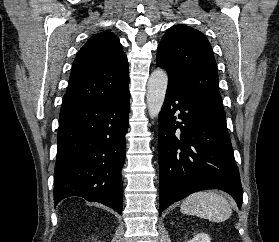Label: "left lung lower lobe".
<instances>
[{
  "instance_id": "1",
  "label": "left lung lower lobe",
  "mask_w": 279,
  "mask_h": 242,
  "mask_svg": "<svg viewBox=\"0 0 279 242\" xmlns=\"http://www.w3.org/2000/svg\"><path fill=\"white\" fill-rule=\"evenodd\" d=\"M158 118L159 214L205 189L227 192L240 207L243 190L226 120L170 80Z\"/></svg>"
}]
</instances>
